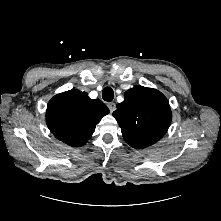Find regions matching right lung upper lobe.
Wrapping results in <instances>:
<instances>
[{
  "mask_svg": "<svg viewBox=\"0 0 221 221\" xmlns=\"http://www.w3.org/2000/svg\"><path fill=\"white\" fill-rule=\"evenodd\" d=\"M108 113L109 109L101 100H92L87 93L72 89L49 101L46 122L57 139L80 147L87 143L95 126Z\"/></svg>",
  "mask_w": 221,
  "mask_h": 221,
  "instance_id": "obj_1",
  "label": "right lung upper lobe"
}]
</instances>
